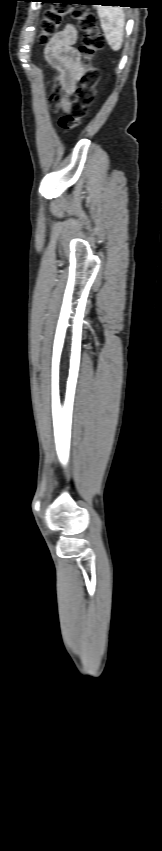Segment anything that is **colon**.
I'll return each mask as SVG.
<instances>
[{
	"label": "colon",
	"mask_w": 162,
	"mask_h": 851,
	"mask_svg": "<svg viewBox=\"0 0 162 851\" xmlns=\"http://www.w3.org/2000/svg\"><path fill=\"white\" fill-rule=\"evenodd\" d=\"M67 15L77 22L83 33L80 52L83 55L84 72L73 98L68 103L66 113L59 121L61 129L65 132L74 130L80 125L93 103L95 86L100 76L99 70L93 64V59L105 46V38L99 30L96 16L82 6L65 4H57L45 11L39 41L46 43L50 37L55 36Z\"/></svg>",
	"instance_id": "obj_1"
}]
</instances>
